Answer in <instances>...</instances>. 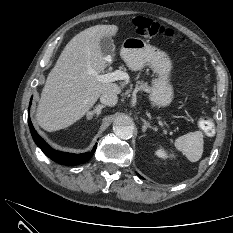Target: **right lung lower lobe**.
<instances>
[{"instance_id":"right-lung-lower-lobe-1","label":"right lung lower lobe","mask_w":233,"mask_h":233,"mask_svg":"<svg viewBox=\"0 0 233 233\" xmlns=\"http://www.w3.org/2000/svg\"><path fill=\"white\" fill-rule=\"evenodd\" d=\"M31 104V102H30ZM28 124L30 127V131L32 137L36 143V145L53 161L63 164V165H77L84 162H87L96 150L97 144L94 146L92 152L82 153V154H71L66 152H61L50 148V146L37 134L35 131L30 117L28 116Z\"/></svg>"}]
</instances>
